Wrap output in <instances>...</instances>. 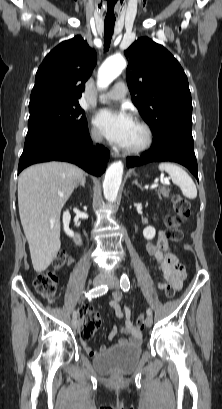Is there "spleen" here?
<instances>
[{"label":"spleen","mask_w":222,"mask_h":409,"mask_svg":"<svg viewBox=\"0 0 222 409\" xmlns=\"http://www.w3.org/2000/svg\"><path fill=\"white\" fill-rule=\"evenodd\" d=\"M159 170L166 171L169 174L172 182L180 187L182 194L186 198H196V185L184 169L176 164L163 162L159 164Z\"/></svg>","instance_id":"1"}]
</instances>
